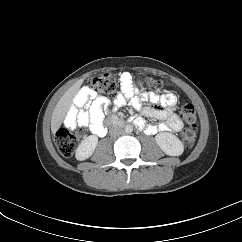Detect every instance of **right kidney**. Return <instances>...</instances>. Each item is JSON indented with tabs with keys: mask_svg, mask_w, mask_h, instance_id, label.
Wrapping results in <instances>:
<instances>
[{
	"mask_svg": "<svg viewBox=\"0 0 242 242\" xmlns=\"http://www.w3.org/2000/svg\"><path fill=\"white\" fill-rule=\"evenodd\" d=\"M97 144V136L90 135L87 138H85L76 150V159L81 161L89 158L93 154Z\"/></svg>",
	"mask_w": 242,
	"mask_h": 242,
	"instance_id": "obj_1",
	"label": "right kidney"
}]
</instances>
